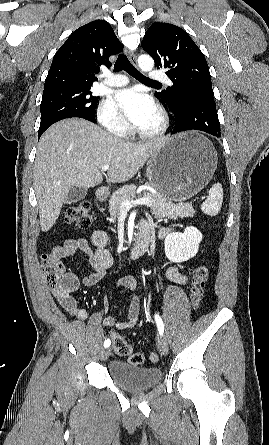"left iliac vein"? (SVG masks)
<instances>
[{"mask_svg":"<svg viewBox=\"0 0 269 445\" xmlns=\"http://www.w3.org/2000/svg\"><path fill=\"white\" fill-rule=\"evenodd\" d=\"M158 350L162 355H167L168 353V344L163 337H159L158 339Z\"/></svg>","mask_w":269,"mask_h":445,"instance_id":"left-iliac-vein-1","label":"left iliac vein"}]
</instances>
